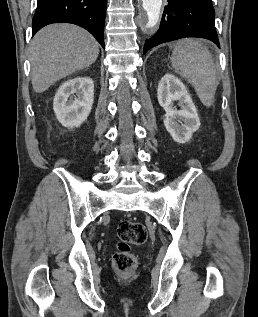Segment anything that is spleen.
Here are the masks:
<instances>
[{
    "label": "spleen",
    "mask_w": 258,
    "mask_h": 317,
    "mask_svg": "<svg viewBox=\"0 0 258 317\" xmlns=\"http://www.w3.org/2000/svg\"><path fill=\"white\" fill-rule=\"evenodd\" d=\"M172 66L188 78L201 102L211 106L218 84L217 70L210 50L195 38H184L174 44Z\"/></svg>",
    "instance_id": "spleen-1"
}]
</instances>
